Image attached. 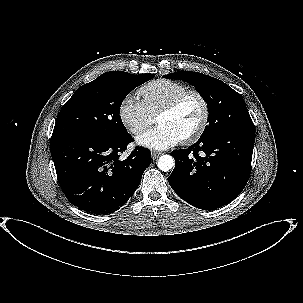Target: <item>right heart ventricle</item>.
<instances>
[{
  "instance_id": "obj_1",
  "label": "right heart ventricle",
  "mask_w": 303,
  "mask_h": 303,
  "mask_svg": "<svg viewBox=\"0 0 303 303\" xmlns=\"http://www.w3.org/2000/svg\"><path fill=\"white\" fill-rule=\"evenodd\" d=\"M188 90L184 84L169 80L157 79L143 85L138 93L148 111L154 116L178 94Z\"/></svg>"
}]
</instances>
